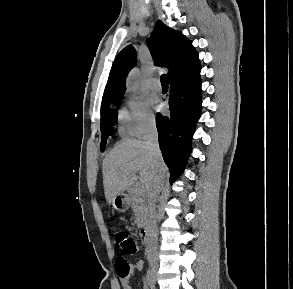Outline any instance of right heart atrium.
I'll return each mask as SVG.
<instances>
[{
    "label": "right heart atrium",
    "mask_w": 293,
    "mask_h": 289,
    "mask_svg": "<svg viewBox=\"0 0 293 289\" xmlns=\"http://www.w3.org/2000/svg\"><path fill=\"white\" fill-rule=\"evenodd\" d=\"M126 110L133 135L143 137L156 127V119L148 101L136 94L125 97Z\"/></svg>",
    "instance_id": "d8ad5b80"
}]
</instances>
